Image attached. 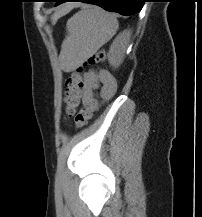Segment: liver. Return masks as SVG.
Returning a JSON list of instances; mask_svg holds the SVG:
<instances>
[{"label":"liver","mask_w":202,"mask_h":217,"mask_svg":"<svg viewBox=\"0 0 202 217\" xmlns=\"http://www.w3.org/2000/svg\"><path fill=\"white\" fill-rule=\"evenodd\" d=\"M67 8H71V6H67ZM59 15L58 14H55L54 17H58Z\"/></svg>","instance_id":"1"}]
</instances>
